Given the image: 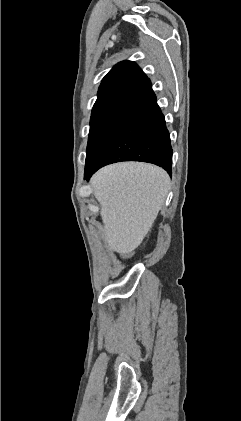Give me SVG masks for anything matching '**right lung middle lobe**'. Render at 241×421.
Here are the masks:
<instances>
[{
	"mask_svg": "<svg viewBox=\"0 0 241 421\" xmlns=\"http://www.w3.org/2000/svg\"><path fill=\"white\" fill-rule=\"evenodd\" d=\"M131 106L132 104L125 103L92 112L85 169L95 165L122 125Z\"/></svg>",
	"mask_w": 241,
	"mask_h": 421,
	"instance_id": "dd1d6c3e",
	"label": "right lung middle lobe"
}]
</instances>
